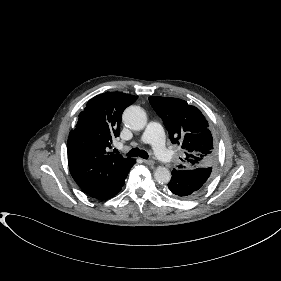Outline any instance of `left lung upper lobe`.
Listing matches in <instances>:
<instances>
[{
    "label": "left lung upper lobe",
    "instance_id": "1",
    "mask_svg": "<svg viewBox=\"0 0 281 281\" xmlns=\"http://www.w3.org/2000/svg\"><path fill=\"white\" fill-rule=\"evenodd\" d=\"M150 104L162 118L173 144L183 150L182 164L174 170L213 167L215 148L208 122L195 106L169 97H149Z\"/></svg>",
    "mask_w": 281,
    "mask_h": 281
}]
</instances>
